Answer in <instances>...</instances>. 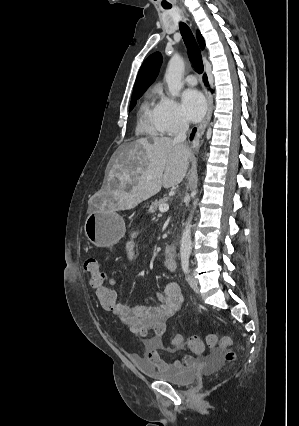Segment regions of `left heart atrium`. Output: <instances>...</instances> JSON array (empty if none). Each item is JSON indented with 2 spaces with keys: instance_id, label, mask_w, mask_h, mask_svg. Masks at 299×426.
Here are the masks:
<instances>
[{
  "instance_id": "obj_1",
  "label": "left heart atrium",
  "mask_w": 299,
  "mask_h": 426,
  "mask_svg": "<svg viewBox=\"0 0 299 426\" xmlns=\"http://www.w3.org/2000/svg\"><path fill=\"white\" fill-rule=\"evenodd\" d=\"M207 109L203 95L195 89H187L182 94V110L185 117L191 122L202 119Z\"/></svg>"
}]
</instances>
